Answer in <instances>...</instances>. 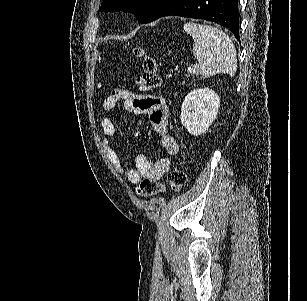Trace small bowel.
Returning a JSON list of instances; mask_svg holds the SVG:
<instances>
[{"label":"small bowel","mask_w":307,"mask_h":301,"mask_svg":"<svg viewBox=\"0 0 307 301\" xmlns=\"http://www.w3.org/2000/svg\"><path fill=\"white\" fill-rule=\"evenodd\" d=\"M123 102L125 107L134 114H146L149 117L153 129L161 137V146L167 156H173L178 152V145L173 136L168 133V108L165 101L158 96L138 95L132 91L116 89L106 97L102 103L104 111L115 109L118 103ZM103 132L102 146L117 172L132 183H138L141 179L158 180L171 168L169 157L161 158L151 163L144 154L136 156L133 167L122 164L118 152L111 146L116 135V126L108 118H102L100 122Z\"/></svg>","instance_id":"c3829d8e"}]
</instances>
